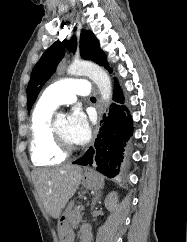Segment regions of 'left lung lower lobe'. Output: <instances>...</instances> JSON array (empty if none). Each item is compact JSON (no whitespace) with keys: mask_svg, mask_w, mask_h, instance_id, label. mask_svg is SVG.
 Masks as SVG:
<instances>
[{"mask_svg":"<svg viewBox=\"0 0 187 242\" xmlns=\"http://www.w3.org/2000/svg\"><path fill=\"white\" fill-rule=\"evenodd\" d=\"M113 100L124 102L122 91L118 85L114 90ZM125 106L112 104L108 118L103 121V126L95 140L93 147L73 164L89 165L105 176L112 178L119 173V167L123 158V147L132 135V119L124 111Z\"/></svg>","mask_w":187,"mask_h":242,"instance_id":"0a47b994","label":"left lung lower lobe"}]
</instances>
